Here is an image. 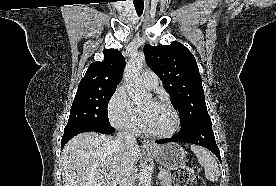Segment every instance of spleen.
<instances>
[{
  "mask_svg": "<svg viewBox=\"0 0 276 186\" xmlns=\"http://www.w3.org/2000/svg\"><path fill=\"white\" fill-rule=\"evenodd\" d=\"M191 150L198 159V162L205 169V177L207 180L216 182L219 179L220 171L215 158L211 153L203 147L191 145Z\"/></svg>",
  "mask_w": 276,
  "mask_h": 186,
  "instance_id": "1",
  "label": "spleen"
}]
</instances>
